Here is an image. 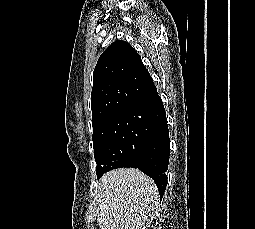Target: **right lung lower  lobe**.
Instances as JSON below:
<instances>
[{
	"mask_svg": "<svg viewBox=\"0 0 255 229\" xmlns=\"http://www.w3.org/2000/svg\"><path fill=\"white\" fill-rule=\"evenodd\" d=\"M126 112L143 120L151 131L140 159L129 167L138 168L151 177L162 198L167 184L165 172L170 156L169 131L162 100L156 91L151 97L127 108Z\"/></svg>",
	"mask_w": 255,
	"mask_h": 229,
	"instance_id": "right-lung-lower-lobe-1",
	"label": "right lung lower lobe"
}]
</instances>
